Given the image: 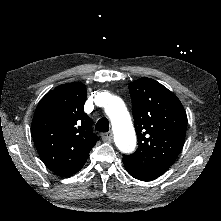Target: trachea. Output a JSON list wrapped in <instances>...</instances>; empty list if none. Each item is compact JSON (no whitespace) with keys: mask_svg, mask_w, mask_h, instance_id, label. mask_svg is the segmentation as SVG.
Returning <instances> with one entry per match:
<instances>
[{"mask_svg":"<svg viewBox=\"0 0 221 221\" xmlns=\"http://www.w3.org/2000/svg\"><path fill=\"white\" fill-rule=\"evenodd\" d=\"M95 129L102 133L108 132L110 129V124H109L108 119L100 118L95 125Z\"/></svg>","mask_w":221,"mask_h":221,"instance_id":"obj_1","label":"trachea"}]
</instances>
